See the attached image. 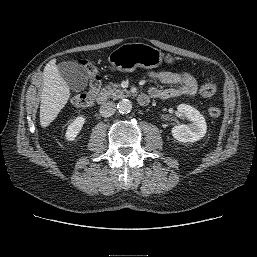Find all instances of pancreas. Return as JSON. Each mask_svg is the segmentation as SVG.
Wrapping results in <instances>:
<instances>
[{
  "instance_id": "pancreas-1",
  "label": "pancreas",
  "mask_w": 257,
  "mask_h": 257,
  "mask_svg": "<svg viewBox=\"0 0 257 257\" xmlns=\"http://www.w3.org/2000/svg\"><path fill=\"white\" fill-rule=\"evenodd\" d=\"M103 93L115 100L124 97V93L129 92L127 90L120 89L118 84L111 83L103 88Z\"/></svg>"
}]
</instances>
